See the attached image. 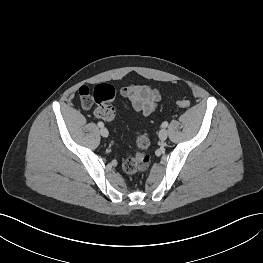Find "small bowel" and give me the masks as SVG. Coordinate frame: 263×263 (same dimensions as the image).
I'll return each mask as SVG.
<instances>
[{
	"label": "small bowel",
	"mask_w": 263,
	"mask_h": 263,
	"mask_svg": "<svg viewBox=\"0 0 263 263\" xmlns=\"http://www.w3.org/2000/svg\"><path fill=\"white\" fill-rule=\"evenodd\" d=\"M120 95L128 99L133 109L143 116L150 115L160 101L156 88L145 84H132L120 89Z\"/></svg>",
	"instance_id": "small-bowel-1"
}]
</instances>
